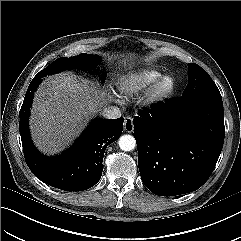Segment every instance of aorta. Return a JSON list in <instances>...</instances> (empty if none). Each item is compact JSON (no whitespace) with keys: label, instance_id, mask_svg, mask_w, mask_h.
<instances>
[{"label":"aorta","instance_id":"762f6f07","mask_svg":"<svg viewBox=\"0 0 241 241\" xmlns=\"http://www.w3.org/2000/svg\"><path fill=\"white\" fill-rule=\"evenodd\" d=\"M119 147L123 151H131L136 147V140L132 135H122L118 141Z\"/></svg>","mask_w":241,"mask_h":241}]
</instances>
